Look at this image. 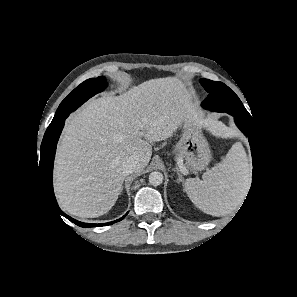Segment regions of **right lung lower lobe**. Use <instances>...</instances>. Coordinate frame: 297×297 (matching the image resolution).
I'll use <instances>...</instances> for the list:
<instances>
[{
  "label": "right lung lower lobe",
  "instance_id": "1",
  "mask_svg": "<svg viewBox=\"0 0 297 297\" xmlns=\"http://www.w3.org/2000/svg\"><path fill=\"white\" fill-rule=\"evenodd\" d=\"M65 119L66 118H63L54 128L46 130L43 141L41 143V147H40V161H39L38 170H40V175L42 178V186L46 191L45 192L46 195H48L47 197L51 205L54 207V209H56V211L59 214H61L62 216L66 217L67 219H69L70 221H72L73 223L81 227L87 228V227L106 226L122 220L127 214L122 218L109 223L89 224V223L79 222L69 217L63 211L60 210L53 192L52 173H53V162H54V156L56 151V145H57L59 136L61 134V131L63 129Z\"/></svg>",
  "mask_w": 297,
  "mask_h": 297
}]
</instances>
